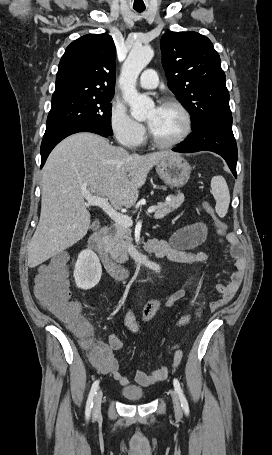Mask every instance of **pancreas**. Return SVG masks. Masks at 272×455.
Returning a JSON list of instances; mask_svg holds the SVG:
<instances>
[{
  "instance_id": "pancreas-1",
  "label": "pancreas",
  "mask_w": 272,
  "mask_h": 455,
  "mask_svg": "<svg viewBox=\"0 0 272 455\" xmlns=\"http://www.w3.org/2000/svg\"><path fill=\"white\" fill-rule=\"evenodd\" d=\"M170 200L160 202L156 206L154 218L162 219L175 209H177L184 201V196L178 194L176 196L170 195ZM132 230L130 227H124L116 224L109 235L107 241V252L115 261L124 263L128 260V248L132 241Z\"/></svg>"
}]
</instances>
